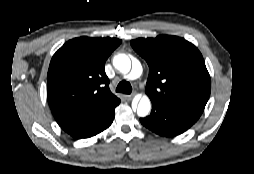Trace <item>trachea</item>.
<instances>
[{
  "mask_svg": "<svg viewBox=\"0 0 254 174\" xmlns=\"http://www.w3.org/2000/svg\"><path fill=\"white\" fill-rule=\"evenodd\" d=\"M116 92L130 94L132 92V86L127 81H121L116 88Z\"/></svg>",
  "mask_w": 254,
  "mask_h": 174,
  "instance_id": "3493384b",
  "label": "trachea"
}]
</instances>
